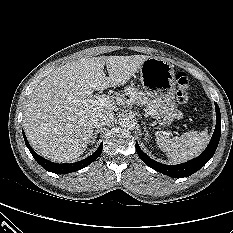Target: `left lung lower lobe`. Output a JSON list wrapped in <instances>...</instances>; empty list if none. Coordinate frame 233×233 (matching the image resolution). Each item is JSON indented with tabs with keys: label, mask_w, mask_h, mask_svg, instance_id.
<instances>
[{
	"label": "left lung lower lobe",
	"mask_w": 233,
	"mask_h": 233,
	"mask_svg": "<svg viewBox=\"0 0 233 233\" xmlns=\"http://www.w3.org/2000/svg\"><path fill=\"white\" fill-rule=\"evenodd\" d=\"M215 109H216V126L214 133L212 135V139L209 142L207 148L198 157L179 165H165L156 162L152 160L150 157H148L140 149L138 143H136L137 154L143 160V162H145L149 167L162 174L175 178L188 177L192 175L193 173L201 169L207 163V161L213 157L216 148L218 146L221 136V114H220L219 106L216 102H215Z\"/></svg>",
	"instance_id": "left-lung-lower-lobe-1"
}]
</instances>
